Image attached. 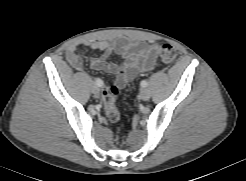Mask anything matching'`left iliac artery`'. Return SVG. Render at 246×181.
Segmentation results:
<instances>
[{
  "instance_id": "1",
  "label": "left iliac artery",
  "mask_w": 246,
  "mask_h": 181,
  "mask_svg": "<svg viewBox=\"0 0 246 181\" xmlns=\"http://www.w3.org/2000/svg\"><path fill=\"white\" fill-rule=\"evenodd\" d=\"M141 86L142 87H147L148 86V82L146 80L141 81Z\"/></svg>"
}]
</instances>
